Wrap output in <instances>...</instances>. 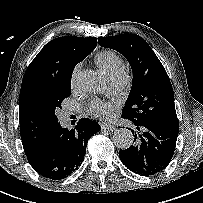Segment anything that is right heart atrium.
<instances>
[{"instance_id":"obj_1","label":"right heart atrium","mask_w":203,"mask_h":203,"mask_svg":"<svg viewBox=\"0 0 203 203\" xmlns=\"http://www.w3.org/2000/svg\"><path fill=\"white\" fill-rule=\"evenodd\" d=\"M81 70V65L77 64L74 66L72 72H71V77H70V84L72 88H75L77 85V81H78V76Z\"/></svg>"}]
</instances>
